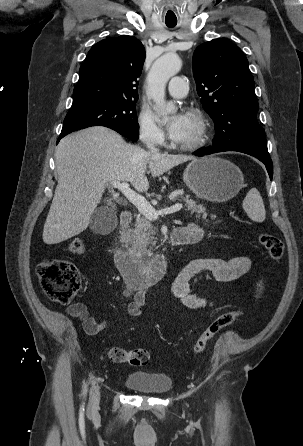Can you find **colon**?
<instances>
[{
    "mask_svg": "<svg viewBox=\"0 0 303 446\" xmlns=\"http://www.w3.org/2000/svg\"><path fill=\"white\" fill-rule=\"evenodd\" d=\"M261 245L267 250L273 261H278L284 253V245L281 239L275 235L263 233L259 236ZM69 251L75 255L85 252V244L81 239H73L69 243ZM36 273L40 285L47 297L60 304H68L76 296L81 280L75 265L67 260L43 259L36 266ZM242 311H227L212 320L204 331L196 339L193 352L202 353L210 340L224 327L230 325ZM107 354L116 363H129L133 366H144L150 360V354L145 349L126 350L120 347H111Z\"/></svg>",
    "mask_w": 303,
    "mask_h": 446,
    "instance_id": "5ec220e1",
    "label": "colon"
}]
</instances>
